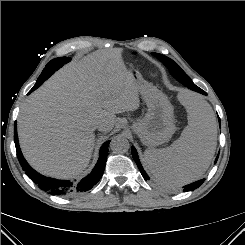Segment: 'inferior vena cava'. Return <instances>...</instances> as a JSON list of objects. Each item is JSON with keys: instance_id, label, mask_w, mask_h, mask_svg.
Wrapping results in <instances>:
<instances>
[{"instance_id": "1", "label": "inferior vena cava", "mask_w": 245, "mask_h": 245, "mask_svg": "<svg viewBox=\"0 0 245 245\" xmlns=\"http://www.w3.org/2000/svg\"><path fill=\"white\" fill-rule=\"evenodd\" d=\"M103 126H104V124H103V123H98V124L96 125V128H97V129H102V128H103Z\"/></svg>"}]
</instances>
